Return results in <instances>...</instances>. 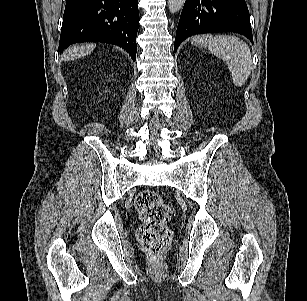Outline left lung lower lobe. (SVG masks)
Returning a JSON list of instances; mask_svg holds the SVG:
<instances>
[{"label":"left lung lower lobe","mask_w":307,"mask_h":301,"mask_svg":"<svg viewBox=\"0 0 307 301\" xmlns=\"http://www.w3.org/2000/svg\"><path fill=\"white\" fill-rule=\"evenodd\" d=\"M211 32H236L253 44L245 0H186L176 31L174 50L186 38Z\"/></svg>","instance_id":"1"}]
</instances>
